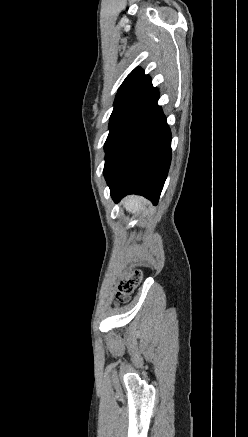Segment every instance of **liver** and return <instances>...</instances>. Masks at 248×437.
<instances>
[{"label":"liver","instance_id":"obj_1","mask_svg":"<svg viewBox=\"0 0 248 437\" xmlns=\"http://www.w3.org/2000/svg\"><path fill=\"white\" fill-rule=\"evenodd\" d=\"M144 199L137 196H130L123 200V205L128 212L139 213L144 208Z\"/></svg>","mask_w":248,"mask_h":437}]
</instances>
